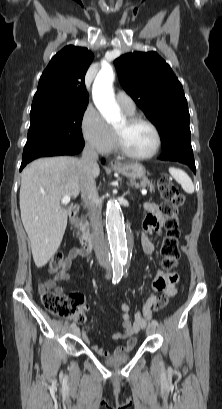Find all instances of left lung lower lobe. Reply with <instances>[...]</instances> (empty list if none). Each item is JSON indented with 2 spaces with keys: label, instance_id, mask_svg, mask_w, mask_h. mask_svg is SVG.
I'll return each mask as SVG.
<instances>
[{
  "label": "left lung lower lobe",
  "instance_id": "left-lung-lower-lobe-1",
  "mask_svg": "<svg viewBox=\"0 0 222 409\" xmlns=\"http://www.w3.org/2000/svg\"><path fill=\"white\" fill-rule=\"evenodd\" d=\"M161 160L165 161H177L188 165L194 173H196V167L194 162L193 150L191 146L188 147H172L163 150L160 156Z\"/></svg>",
  "mask_w": 222,
  "mask_h": 409
}]
</instances>
